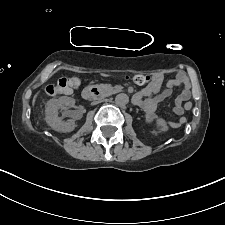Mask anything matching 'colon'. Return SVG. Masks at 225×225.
Segmentation results:
<instances>
[{
    "label": "colon",
    "instance_id": "1",
    "mask_svg": "<svg viewBox=\"0 0 225 225\" xmlns=\"http://www.w3.org/2000/svg\"><path fill=\"white\" fill-rule=\"evenodd\" d=\"M128 80L133 81L136 84L143 85L150 81V76L146 74H136L133 76H128ZM80 85V80L77 77L71 78H61L55 84H51L46 87V94L49 96H54L57 94H69L74 89L78 88ZM182 108L185 110H190L192 108L191 102H184ZM186 119L180 120V125L185 123ZM179 125V126H180Z\"/></svg>",
    "mask_w": 225,
    "mask_h": 225
}]
</instances>
